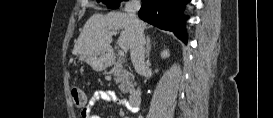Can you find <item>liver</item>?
<instances>
[{
	"label": "liver",
	"instance_id": "obj_1",
	"mask_svg": "<svg viewBox=\"0 0 273 118\" xmlns=\"http://www.w3.org/2000/svg\"><path fill=\"white\" fill-rule=\"evenodd\" d=\"M143 30L146 24L142 21ZM122 29L118 38L119 46L124 51L131 47L134 27L127 13L110 12L108 14H93L85 23L72 51L73 55L86 56L105 52L112 42L113 32Z\"/></svg>",
	"mask_w": 273,
	"mask_h": 118
}]
</instances>
